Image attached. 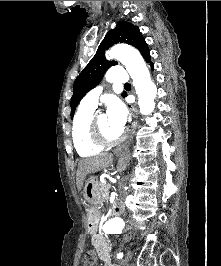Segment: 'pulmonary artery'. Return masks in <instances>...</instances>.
Listing matches in <instances>:
<instances>
[{"label": "pulmonary artery", "mask_w": 221, "mask_h": 266, "mask_svg": "<svg viewBox=\"0 0 221 266\" xmlns=\"http://www.w3.org/2000/svg\"><path fill=\"white\" fill-rule=\"evenodd\" d=\"M106 80L110 82L125 83L128 80V76L121 65H116L110 68V71L106 75ZM103 91V86L99 85L89 91L81 101V105L96 108L98 104V98Z\"/></svg>", "instance_id": "1"}]
</instances>
